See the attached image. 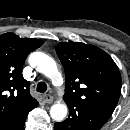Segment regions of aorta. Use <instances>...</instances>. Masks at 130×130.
<instances>
[{"instance_id":"1","label":"aorta","mask_w":130,"mask_h":130,"mask_svg":"<svg viewBox=\"0 0 130 130\" xmlns=\"http://www.w3.org/2000/svg\"><path fill=\"white\" fill-rule=\"evenodd\" d=\"M29 64L38 72L50 78L54 84H62L63 77L58 70L56 62L43 52H33L28 58ZM67 105L57 102L50 108V115L55 121H62L67 115Z\"/></svg>"}]
</instances>
